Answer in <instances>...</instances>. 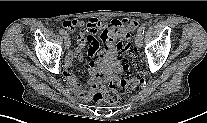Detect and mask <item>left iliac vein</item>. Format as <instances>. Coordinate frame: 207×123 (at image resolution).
<instances>
[{
    "mask_svg": "<svg viewBox=\"0 0 207 123\" xmlns=\"http://www.w3.org/2000/svg\"><path fill=\"white\" fill-rule=\"evenodd\" d=\"M135 45L140 48L142 46V34L137 33L135 36Z\"/></svg>",
    "mask_w": 207,
    "mask_h": 123,
    "instance_id": "4c4485c4",
    "label": "left iliac vein"
}]
</instances>
